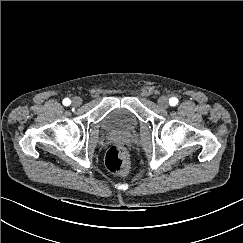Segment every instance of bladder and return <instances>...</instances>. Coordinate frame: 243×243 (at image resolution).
Here are the masks:
<instances>
[{
    "mask_svg": "<svg viewBox=\"0 0 243 243\" xmlns=\"http://www.w3.org/2000/svg\"><path fill=\"white\" fill-rule=\"evenodd\" d=\"M102 126L109 133L130 134L137 128L138 120L128 110L116 108L104 117Z\"/></svg>",
    "mask_w": 243,
    "mask_h": 243,
    "instance_id": "31cf9c89",
    "label": "bladder"
}]
</instances>
